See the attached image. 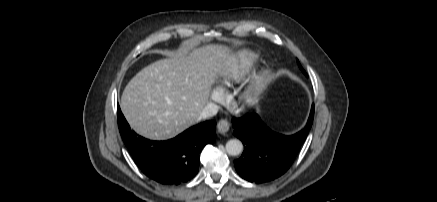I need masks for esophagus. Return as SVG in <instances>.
Segmentation results:
<instances>
[{
    "instance_id": "1",
    "label": "esophagus",
    "mask_w": 437,
    "mask_h": 202,
    "mask_svg": "<svg viewBox=\"0 0 437 202\" xmlns=\"http://www.w3.org/2000/svg\"><path fill=\"white\" fill-rule=\"evenodd\" d=\"M230 123L226 119H222L217 124L218 132L221 134H225L229 131Z\"/></svg>"
}]
</instances>
